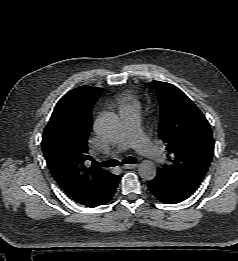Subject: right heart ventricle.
I'll return each mask as SVG.
<instances>
[{
  "instance_id": "1",
  "label": "right heart ventricle",
  "mask_w": 238,
  "mask_h": 261,
  "mask_svg": "<svg viewBox=\"0 0 238 261\" xmlns=\"http://www.w3.org/2000/svg\"><path fill=\"white\" fill-rule=\"evenodd\" d=\"M128 106H138V102L134 96H132L131 94L125 93L121 96V98L119 100V107L121 110Z\"/></svg>"
}]
</instances>
